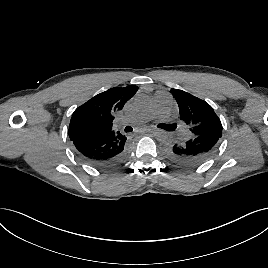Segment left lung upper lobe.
<instances>
[{"mask_svg":"<svg viewBox=\"0 0 268 268\" xmlns=\"http://www.w3.org/2000/svg\"><path fill=\"white\" fill-rule=\"evenodd\" d=\"M179 106L180 119L190 127L191 136L216 135L221 138L222 124L205 101L179 89H171Z\"/></svg>","mask_w":268,"mask_h":268,"instance_id":"1","label":"left lung upper lobe"}]
</instances>
